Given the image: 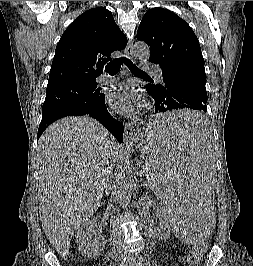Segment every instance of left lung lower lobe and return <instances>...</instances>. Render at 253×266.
<instances>
[{"label": "left lung lower lobe", "instance_id": "1", "mask_svg": "<svg viewBox=\"0 0 253 266\" xmlns=\"http://www.w3.org/2000/svg\"><path fill=\"white\" fill-rule=\"evenodd\" d=\"M152 62V61H150ZM156 63V62H153ZM157 64V63H156ZM163 84H148L147 92L155 100V113L175 109H192L199 116L183 125L155 126V133L201 135L206 131L203 113L207 111L206 75L185 66L162 68Z\"/></svg>", "mask_w": 253, "mask_h": 266}]
</instances>
